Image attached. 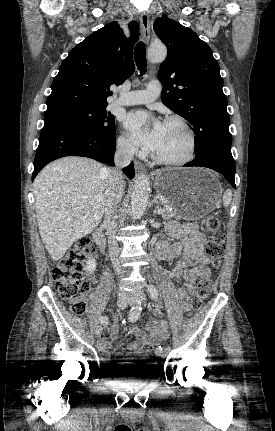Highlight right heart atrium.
I'll return each instance as SVG.
<instances>
[{
  "label": "right heart atrium",
  "instance_id": "obj_1",
  "mask_svg": "<svg viewBox=\"0 0 275 431\" xmlns=\"http://www.w3.org/2000/svg\"><path fill=\"white\" fill-rule=\"evenodd\" d=\"M117 147L121 154L126 156H132L134 155L137 150L132 141L129 139V137L122 133L117 139Z\"/></svg>",
  "mask_w": 275,
  "mask_h": 431
}]
</instances>
